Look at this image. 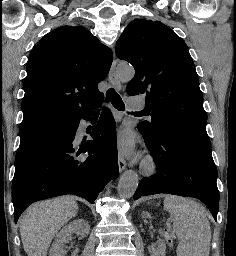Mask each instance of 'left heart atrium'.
I'll use <instances>...</instances> for the list:
<instances>
[{"mask_svg": "<svg viewBox=\"0 0 236 256\" xmlns=\"http://www.w3.org/2000/svg\"><path fill=\"white\" fill-rule=\"evenodd\" d=\"M117 148L121 155L128 156L133 152L134 141L130 131H122L117 138Z\"/></svg>", "mask_w": 236, "mask_h": 256, "instance_id": "left-heart-atrium-1", "label": "left heart atrium"}]
</instances>
